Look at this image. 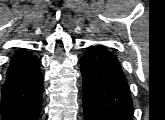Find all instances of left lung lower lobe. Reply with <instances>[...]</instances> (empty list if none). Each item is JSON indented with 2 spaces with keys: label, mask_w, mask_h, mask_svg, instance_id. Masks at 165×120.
<instances>
[{
  "label": "left lung lower lobe",
  "mask_w": 165,
  "mask_h": 120,
  "mask_svg": "<svg viewBox=\"0 0 165 120\" xmlns=\"http://www.w3.org/2000/svg\"><path fill=\"white\" fill-rule=\"evenodd\" d=\"M85 120H133L130 88L117 57L90 46L79 60Z\"/></svg>",
  "instance_id": "obj_1"
}]
</instances>
